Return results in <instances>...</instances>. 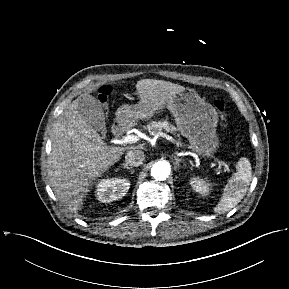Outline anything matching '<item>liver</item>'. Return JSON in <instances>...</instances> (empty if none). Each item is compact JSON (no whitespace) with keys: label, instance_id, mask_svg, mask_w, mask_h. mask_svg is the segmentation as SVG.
Instances as JSON below:
<instances>
[{"label":"liver","instance_id":"liver-1","mask_svg":"<svg viewBox=\"0 0 289 289\" xmlns=\"http://www.w3.org/2000/svg\"><path fill=\"white\" fill-rule=\"evenodd\" d=\"M140 102L154 114L162 110L177 92L185 88L163 80L143 79L136 84ZM58 117L53 128L52 149L48 160L50 184L57 198L77 210L89 188L125 151L133 146H108L79 111L81 97ZM84 100H86L84 98Z\"/></svg>","mask_w":289,"mask_h":289}]
</instances>
